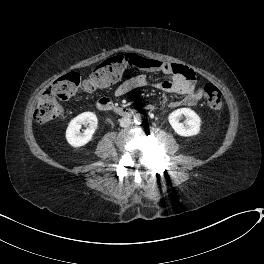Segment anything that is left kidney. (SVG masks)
Segmentation results:
<instances>
[{
  "mask_svg": "<svg viewBox=\"0 0 264 264\" xmlns=\"http://www.w3.org/2000/svg\"><path fill=\"white\" fill-rule=\"evenodd\" d=\"M183 116L186 120L184 123H181L179 121ZM168 120L173 130L180 136H194L200 131L201 118L190 108H180L173 111L169 114Z\"/></svg>",
  "mask_w": 264,
  "mask_h": 264,
  "instance_id": "5707ae66",
  "label": "left kidney"
}]
</instances>
